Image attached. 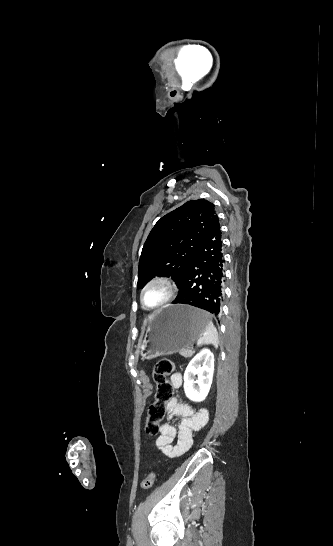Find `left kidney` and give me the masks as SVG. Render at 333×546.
<instances>
[{
	"label": "left kidney",
	"mask_w": 333,
	"mask_h": 546,
	"mask_svg": "<svg viewBox=\"0 0 333 546\" xmlns=\"http://www.w3.org/2000/svg\"><path fill=\"white\" fill-rule=\"evenodd\" d=\"M214 373V355L209 349H203L189 362L184 373V391L192 401H203L212 384Z\"/></svg>",
	"instance_id": "5707ae66"
}]
</instances>
